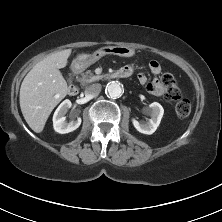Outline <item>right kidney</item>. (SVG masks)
<instances>
[{
	"label": "right kidney",
	"instance_id": "ca27d5eb",
	"mask_svg": "<svg viewBox=\"0 0 222 222\" xmlns=\"http://www.w3.org/2000/svg\"><path fill=\"white\" fill-rule=\"evenodd\" d=\"M71 101L64 100L56 109L53 115V127L54 130L60 134H65L76 130L81 124V118L72 119L70 122L65 121V114L71 107Z\"/></svg>",
	"mask_w": 222,
	"mask_h": 222
}]
</instances>
